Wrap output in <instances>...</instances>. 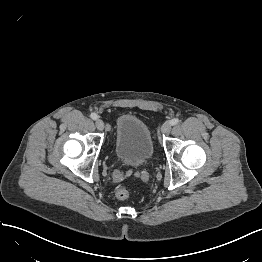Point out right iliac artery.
<instances>
[{
  "instance_id": "right-iliac-artery-1",
  "label": "right iliac artery",
  "mask_w": 262,
  "mask_h": 262,
  "mask_svg": "<svg viewBox=\"0 0 262 262\" xmlns=\"http://www.w3.org/2000/svg\"><path fill=\"white\" fill-rule=\"evenodd\" d=\"M91 118L93 119V120H96V119H98V115L96 114V113H91Z\"/></svg>"
}]
</instances>
